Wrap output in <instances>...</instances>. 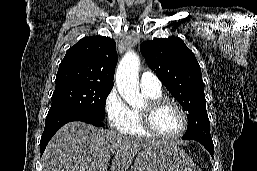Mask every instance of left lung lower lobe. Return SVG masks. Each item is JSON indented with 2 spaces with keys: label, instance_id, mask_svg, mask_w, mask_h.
I'll return each mask as SVG.
<instances>
[{
  "label": "left lung lower lobe",
  "instance_id": "1",
  "mask_svg": "<svg viewBox=\"0 0 257 171\" xmlns=\"http://www.w3.org/2000/svg\"><path fill=\"white\" fill-rule=\"evenodd\" d=\"M183 140H195L200 142L211 154L213 157L214 144L212 138H202V137H191V138H182Z\"/></svg>",
  "mask_w": 257,
  "mask_h": 171
}]
</instances>
